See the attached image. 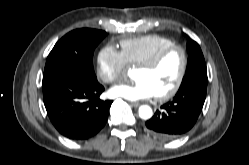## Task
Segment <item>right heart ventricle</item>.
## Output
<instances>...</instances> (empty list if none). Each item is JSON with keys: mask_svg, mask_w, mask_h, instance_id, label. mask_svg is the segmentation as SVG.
I'll return each mask as SVG.
<instances>
[{"mask_svg": "<svg viewBox=\"0 0 249 165\" xmlns=\"http://www.w3.org/2000/svg\"><path fill=\"white\" fill-rule=\"evenodd\" d=\"M174 42L165 36L148 34L120 41L121 53L127 64L140 65L153 58Z\"/></svg>", "mask_w": 249, "mask_h": 165, "instance_id": "obj_1", "label": "right heart ventricle"}]
</instances>
